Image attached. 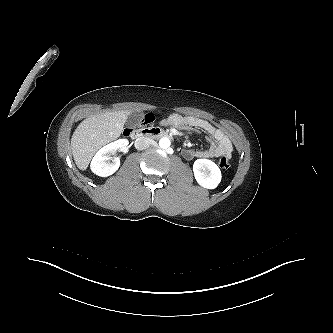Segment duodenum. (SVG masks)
Here are the masks:
<instances>
[{
    "label": "duodenum",
    "instance_id": "1",
    "mask_svg": "<svg viewBox=\"0 0 333 333\" xmlns=\"http://www.w3.org/2000/svg\"><path fill=\"white\" fill-rule=\"evenodd\" d=\"M136 146H141L149 139L167 138L168 132L160 128H144L133 131L130 134Z\"/></svg>",
    "mask_w": 333,
    "mask_h": 333
}]
</instances>
